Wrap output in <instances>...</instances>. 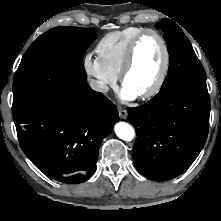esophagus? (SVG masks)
<instances>
[{
    "label": "esophagus",
    "mask_w": 221,
    "mask_h": 221,
    "mask_svg": "<svg viewBox=\"0 0 221 221\" xmlns=\"http://www.w3.org/2000/svg\"><path fill=\"white\" fill-rule=\"evenodd\" d=\"M118 111H119V116H120L121 119H126L127 118L128 113L125 109L119 108Z\"/></svg>",
    "instance_id": "1"
}]
</instances>
